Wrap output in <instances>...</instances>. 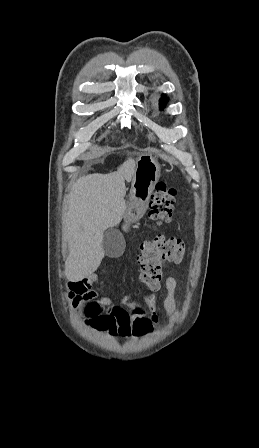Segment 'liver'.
I'll use <instances>...</instances> for the list:
<instances>
[{"mask_svg":"<svg viewBox=\"0 0 259 448\" xmlns=\"http://www.w3.org/2000/svg\"><path fill=\"white\" fill-rule=\"evenodd\" d=\"M134 168V160H128L118 172L89 174L74 184L64 218L70 252L65 276L69 282H79L99 268L104 258V232L118 226L125 214V180L130 182Z\"/></svg>","mask_w":259,"mask_h":448,"instance_id":"liver-1","label":"liver"}]
</instances>
